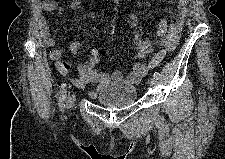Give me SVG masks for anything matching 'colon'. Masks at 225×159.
<instances>
[{"instance_id":"colon-1","label":"colon","mask_w":225,"mask_h":159,"mask_svg":"<svg viewBox=\"0 0 225 159\" xmlns=\"http://www.w3.org/2000/svg\"><path fill=\"white\" fill-rule=\"evenodd\" d=\"M165 53H166L165 50H162V51H160L159 53H157V54L153 57V59L150 61L149 66H150L151 68L157 66V65L163 60V58H164V56H165Z\"/></svg>"}]
</instances>
